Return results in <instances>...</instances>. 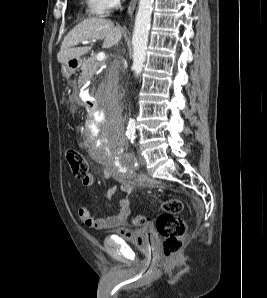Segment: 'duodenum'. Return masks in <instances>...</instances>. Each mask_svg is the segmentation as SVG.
Segmentation results:
<instances>
[{"label": "duodenum", "instance_id": "410a0bca", "mask_svg": "<svg viewBox=\"0 0 267 298\" xmlns=\"http://www.w3.org/2000/svg\"><path fill=\"white\" fill-rule=\"evenodd\" d=\"M98 93H91L90 100H84L86 115H96V102H98Z\"/></svg>", "mask_w": 267, "mask_h": 298}]
</instances>
